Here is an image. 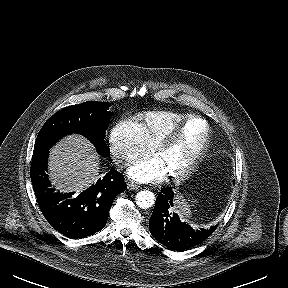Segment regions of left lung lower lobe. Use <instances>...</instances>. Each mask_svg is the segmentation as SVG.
Returning a JSON list of instances; mask_svg holds the SVG:
<instances>
[{"label": "left lung lower lobe", "instance_id": "0a47b994", "mask_svg": "<svg viewBox=\"0 0 288 288\" xmlns=\"http://www.w3.org/2000/svg\"><path fill=\"white\" fill-rule=\"evenodd\" d=\"M172 187L162 188L149 221L152 236L171 250H185L194 247L207 239L216 229L194 230L182 223L177 214L172 213Z\"/></svg>", "mask_w": 288, "mask_h": 288}]
</instances>
